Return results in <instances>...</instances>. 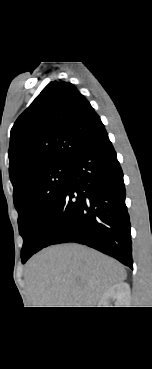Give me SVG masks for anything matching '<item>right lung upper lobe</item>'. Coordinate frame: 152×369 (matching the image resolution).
<instances>
[{
	"label": "right lung upper lobe",
	"mask_w": 152,
	"mask_h": 369,
	"mask_svg": "<svg viewBox=\"0 0 152 369\" xmlns=\"http://www.w3.org/2000/svg\"><path fill=\"white\" fill-rule=\"evenodd\" d=\"M103 131L100 117L73 84L50 82L11 130L8 154L13 195L32 174L69 163Z\"/></svg>",
	"instance_id": "obj_1"
}]
</instances>
